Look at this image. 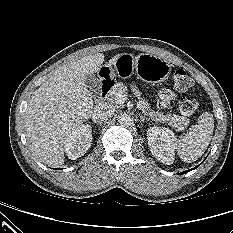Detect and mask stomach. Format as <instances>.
Instances as JSON below:
<instances>
[{
	"mask_svg": "<svg viewBox=\"0 0 233 233\" xmlns=\"http://www.w3.org/2000/svg\"><path fill=\"white\" fill-rule=\"evenodd\" d=\"M134 68L137 77L142 81L149 83H158L165 81L171 73V65L168 61L152 54H139L133 56L128 53L121 54L117 59L114 67ZM112 71L113 69L108 66Z\"/></svg>",
	"mask_w": 233,
	"mask_h": 233,
	"instance_id": "1",
	"label": "stomach"
}]
</instances>
